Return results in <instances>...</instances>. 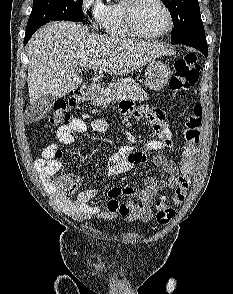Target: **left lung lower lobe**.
<instances>
[{"instance_id":"left-lung-lower-lobe-1","label":"left lung lower lobe","mask_w":233,"mask_h":294,"mask_svg":"<svg viewBox=\"0 0 233 294\" xmlns=\"http://www.w3.org/2000/svg\"><path fill=\"white\" fill-rule=\"evenodd\" d=\"M180 44H184V45L196 48L207 57L208 49H207V42L206 41H188V42H182Z\"/></svg>"}]
</instances>
